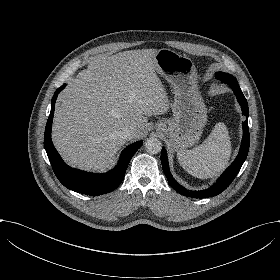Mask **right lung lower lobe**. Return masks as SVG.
<instances>
[{
  "instance_id": "right-lung-lower-lobe-1",
  "label": "right lung lower lobe",
  "mask_w": 280,
  "mask_h": 280,
  "mask_svg": "<svg viewBox=\"0 0 280 280\" xmlns=\"http://www.w3.org/2000/svg\"><path fill=\"white\" fill-rule=\"evenodd\" d=\"M66 85L56 90L51 101V112L46 124L44 146L58 180L68 189L86 195L97 196L109 193L116 189L124 178L127 166L132 156L142 145L141 141L135 142L125 148L120 156L117 166L105 174H94L73 169L61 159L51 141V127L54 114L55 101L59 92Z\"/></svg>"
}]
</instances>
